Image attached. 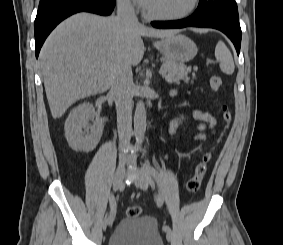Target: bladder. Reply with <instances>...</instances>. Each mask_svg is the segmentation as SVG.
<instances>
[{
	"instance_id": "1",
	"label": "bladder",
	"mask_w": 283,
	"mask_h": 245,
	"mask_svg": "<svg viewBox=\"0 0 283 245\" xmlns=\"http://www.w3.org/2000/svg\"><path fill=\"white\" fill-rule=\"evenodd\" d=\"M108 245H164L157 220L148 215L122 219L111 232Z\"/></svg>"
}]
</instances>
